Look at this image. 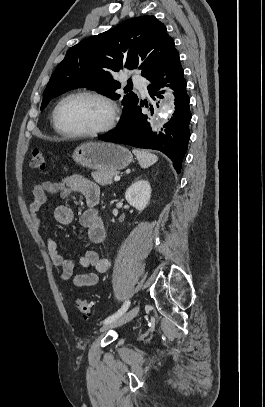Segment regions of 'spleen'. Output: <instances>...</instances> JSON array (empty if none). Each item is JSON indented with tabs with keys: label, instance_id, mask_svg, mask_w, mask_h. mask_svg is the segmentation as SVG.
<instances>
[{
	"label": "spleen",
	"instance_id": "obj_1",
	"mask_svg": "<svg viewBox=\"0 0 265 407\" xmlns=\"http://www.w3.org/2000/svg\"><path fill=\"white\" fill-rule=\"evenodd\" d=\"M133 153L142 168H148L156 163L158 160V157L156 155L146 150L133 149Z\"/></svg>",
	"mask_w": 265,
	"mask_h": 407
}]
</instances>
